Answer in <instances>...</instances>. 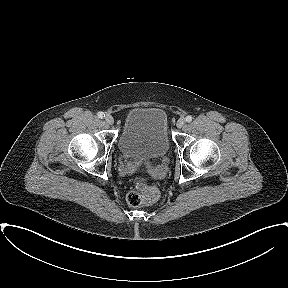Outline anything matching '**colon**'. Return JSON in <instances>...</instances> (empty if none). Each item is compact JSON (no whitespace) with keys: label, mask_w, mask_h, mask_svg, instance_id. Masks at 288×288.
<instances>
[{"label":"colon","mask_w":288,"mask_h":288,"mask_svg":"<svg viewBox=\"0 0 288 288\" xmlns=\"http://www.w3.org/2000/svg\"><path fill=\"white\" fill-rule=\"evenodd\" d=\"M158 190L146 184L142 179H139L135 188L127 195V203L132 207H139L145 204L153 203L158 199Z\"/></svg>","instance_id":"1"}]
</instances>
